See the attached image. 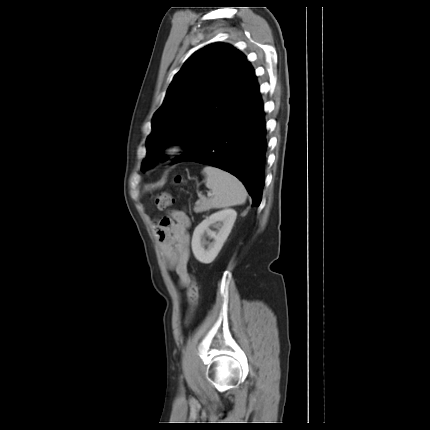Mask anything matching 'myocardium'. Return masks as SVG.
<instances>
[{
	"mask_svg": "<svg viewBox=\"0 0 430 430\" xmlns=\"http://www.w3.org/2000/svg\"><path fill=\"white\" fill-rule=\"evenodd\" d=\"M180 151V148L177 144H169L162 152L164 157H169L177 154Z\"/></svg>",
	"mask_w": 430,
	"mask_h": 430,
	"instance_id": "f54148a6",
	"label": "myocardium"
}]
</instances>
